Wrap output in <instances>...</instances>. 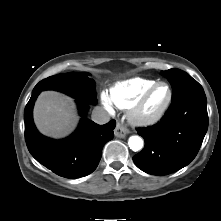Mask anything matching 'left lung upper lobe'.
<instances>
[{
	"label": "left lung upper lobe",
	"instance_id": "obj_1",
	"mask_svg": "<svg viewBox=\"0 0 221 221\" xmlns=\"http://www.w3.org/2000/svg\"><path fill=\"white\" fill-rule=\"evenodd\" d=\"M162 74L172 86V97L179 95L183 91L201 86L189 74L177 68L166 70Z\"/></svg>",
	"mask_w": 221,
	"mask_h": 221
}]
</instances>
